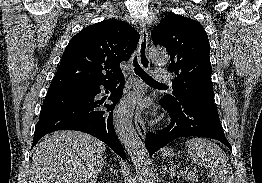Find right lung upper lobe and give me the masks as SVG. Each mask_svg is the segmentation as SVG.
<instances>
[{"mask_svg": "<svg viewBox=\"0 0 262 183\" xmlns=\"http://www.w3.org/2000/svg\"><path fill=\"white\" fill-rule=\"evenodd\" d=\"M139 41L128 23L104 20L89 25L72 37L49 88H65L123 76L120 63L127 61Z\"/></svg>", "mask_w": 262, "mask_h": 183, "instance_id": "obj_1", "label": "right lung upper lobe"}]
</instances>
